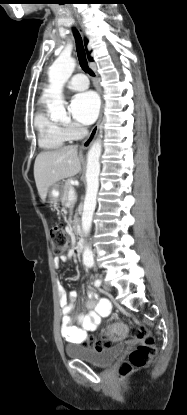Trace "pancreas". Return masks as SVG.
Masks as SVG:
<instances>
[{
  "mask_svg": "<svg viewBox=\"0 0 187 415\" xmlns=\"http://www.w3.org/2000/svg\"><path fill=\"white\" fill-rule=\"evenodd\" d=\"M73 186L70 180L65 181L64 191L61 199L62 206L67 207L69 204V191Z\"/></svg>",
  "mask_w": 187,
  "mask_h": 415,
  "instance_id": "cf45deb5",
  "label": "pancreas"
}]
</instances>
